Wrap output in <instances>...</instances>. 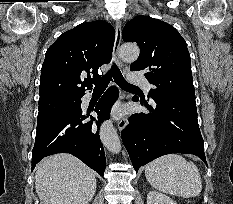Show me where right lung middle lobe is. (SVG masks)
Segmentation results:
<instances>
[{"label":"right lung middle lobe","mask_w":233,"mask_h":204,"mask_svg":"<svg viewBox=\"0 0 233 204\" xmlns=\"http://www.w3.org/2000/svg\"><path fill=\"white\" fill-rule=\"evenodd\" d=\"M80 103L81 97H64L40 102L37 128L52 122L64 114L71 113Z\"/></svg>","instance_id":"right-lung-middle-lobe-1"}]
</instances>
